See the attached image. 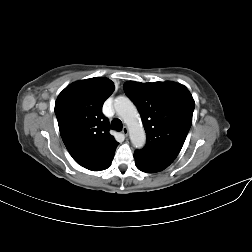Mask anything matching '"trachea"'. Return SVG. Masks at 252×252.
Here are the masks:
<instances>
[{"mask_svg":"<svg viewBox=\"0 0 252 252\" xmlns=\"http://www.w3.org/2000/svg\"><path fill=\"white\" fill-rule=\"evenodd\" d=\"M111 127L116 131H121L123 127L122 122L119 119L115 118L111 121Z\"/></svg>","mask_w":252,"mask_h":252,"instance_id":"3493384b","label":"trachea"}]
</instances>
